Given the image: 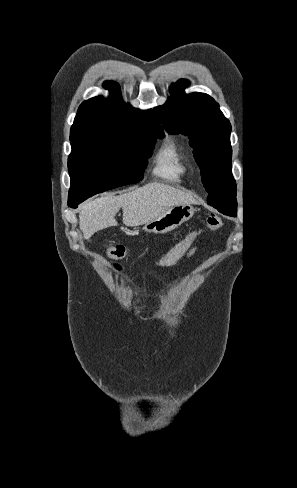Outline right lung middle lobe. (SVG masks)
I'll list each match as a JSON object with an SVG mask.
<instances>
[{
	"label": "right lung middle lobe",
	"instance_id": "right-lung-middle-lobe-1",
	"mask_svg": "<svg viewBox=\"0 0 297 488\" xmlns=\"http://www.w3.org/2000/svg\"><path fill=\"white\" fill-rule=\"evenodd\" d=\"M159 132L144 128L130 136L72 145L68 157L71 187L68 206L109 189L137 183L143 178Z\"/></svg>",
	"mask_w": 297,
	"mask_h": 488
}]
</instances>
